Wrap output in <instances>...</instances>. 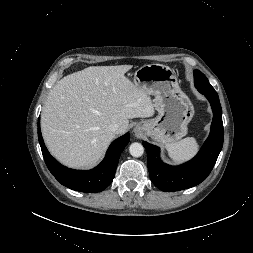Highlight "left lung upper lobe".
<instances>
[{
	"instance_id": "5c2ea615",
	"label": "left lung upper lobe",
	"mask_w": 253,
	"mask_h": 253,
	"mask_svg": "<svg viewBox=\"0 0 253 253\" xmlns=\"http://www.w3.org/2000/svg\"><path fill=\"white\" fill-rule=\"evenodd\" d=\"M194 83L198 91H207L211 93H216L214 88L210 85L206 76L199 70H194Z\"/></svg>"
}]
</instances>
